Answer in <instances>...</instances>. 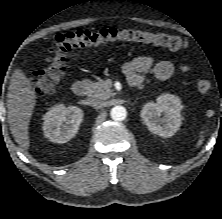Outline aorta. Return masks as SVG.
<instances>
[{"instance_id": "obj_1", "label": "aorta", "mask_w": 222, "mask_h": 219, "mask_svg": "<svg viewBox=\"0 0 222 219\" xmlns=\"http://www.w3.org/2000/svg\"><path fill=\"white\" fill-rule=\"evenodd\" d=\"M110 115L114 121H123L127 116V112L125 107L117 105L111 109Z\"/></svg>"}]
</instances>
